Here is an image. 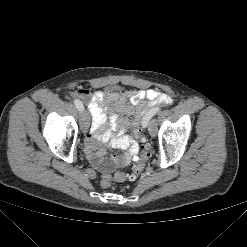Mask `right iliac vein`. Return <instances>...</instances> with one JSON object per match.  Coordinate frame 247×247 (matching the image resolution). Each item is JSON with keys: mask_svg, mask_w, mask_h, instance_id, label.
Returning <instances> with one entry per match:
<instances>
[{"mask_svg": "<svg viewBox=\"0 0 247 247\" xmlns=\"http://www.w3.org/2000/svg\"><path fill=\"white\" fill-rule=\"evenodd\" d=\"M80 125L83 132H86L89 128L90 118L86 111H82L80 114Z\"/></svg>", "mask_w": 247, "mask_h": 247, "instance_id": "63e3f726", "label": "right iliac vein"}]
</instances>
